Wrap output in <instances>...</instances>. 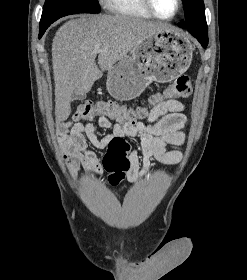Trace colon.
Masks as SVG:
<instances>
[{
  "label": "colon",
  "mask_w": 247,
  "mask_h": 280,
  "mask_svg": "<svg viewBox=\"0 0 247 280\" xmlns=\"http://www.w3.org/2000/svg\"><path fill=\"white\" fill-rule=\"evenodd\" d=\"M192 92L191 79L187 75L179 76L163 92L155 93L149 98V106H156L166 100L187 98ZM148 115L147 107H127L114 101H85L81 103L73 116L75 121L92 120L98 116H106L112 120L135 125ZM129 143L124 139H114L107 148L102 160L104 170L108 173L111 188L115 189L130 168L128 157Z\"/></svg>",
  "instance_id": "5ec220e1"
}]
</instances>
